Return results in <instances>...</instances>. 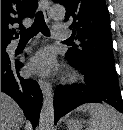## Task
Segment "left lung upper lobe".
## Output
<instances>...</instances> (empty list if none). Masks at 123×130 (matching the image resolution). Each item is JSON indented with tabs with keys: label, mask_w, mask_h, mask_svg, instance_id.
Returning a JSON list of instances; mask_svg holds the SVG:
<instances>
[{
	"label": "left lung upper lobe",
	"mask_w": 123,
	"mask_h": 130,
	"mask_svg": "<svg viewBox=\"0 0 123 130\" xmlns=\"http://www.w3.org/2000/svg\"><path fill=\"white\" fill-rule=\"evenodd\" d=\"M66 8L72 38L80 43L68 50L69 60L98 64L114 70L110 15L105 0H53Z\"/></svg>",
	"instance_id": "obj_1"
}]
</instances>
